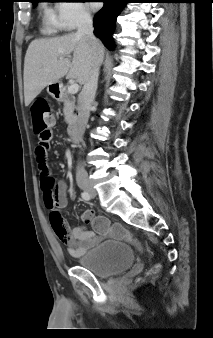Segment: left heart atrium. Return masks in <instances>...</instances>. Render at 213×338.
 <instances>
[{"label": "left heart atrium", "mask_w": 213, "mask_h": 338, "mask_svg": "<svg viewBox=\"0 0 213 338\" xmlns=\"http://www.w3.org/2000/svg\"><path fill=\"white\" fill-rule=\"evenodd\" d=\"M90 4H91V7H92L93 9L97 8V5H96L95 3H90Z\"/></svg>", "instance_id": "obj_1"}]
</instances>
